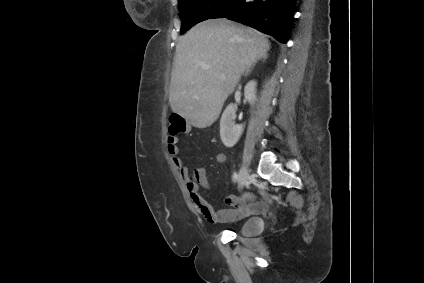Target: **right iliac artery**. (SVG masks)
I'll return each mask as SVG.
<instances>
[{
    "mask_svg": "<svg viewBox=\"0 0 424 283\" xmlns=\"http://www.w3.org/2000/svg\"><path fill=\"white\" fill-rule=\"evenodd\" d=\"M233 177H234V180H237L238 179V175H237L236 172L234 173V176Z\"/></svg>",
    "mask_w": 424,
    "mask_h": 283,
    "instance_id": "1",
    "label": "right iliac artery"
}]
</instances>
